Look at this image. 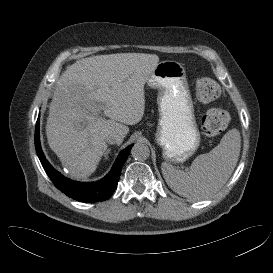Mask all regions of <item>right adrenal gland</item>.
Segmentation results:
<instances>
[{
    "instance_id": "1",
    "label": "right adrenal gland",
    "mask_w": 273,
    "mask_h": 273,
    "mask_svg": "<svg viewBox=\"0 0 273 273\" xmlns=\"http://www.w3.org/2000/svg\"><path fill=\"white\" fill-rule=\"evenodd\" d=\"M110 151H111V149H107V151L105 152V154H104L105 159L108 158V155H109Z\"/></svg>"
}]
</instances>
